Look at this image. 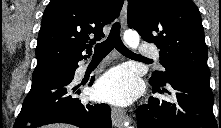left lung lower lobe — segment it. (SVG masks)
<instances>
[{"mask_svg": "<svg viewBox=\"0 0 221 128\" xmlns=\"http://www.w3.org/2000/svg\"><path fill=\"white\" fill-rule=\"evenodd\" d=\"M210 75L174 70L164 85L150 80L153 93L167 99L150 98L137 109L138 128H218L213 114L214 97ZM167 84L170 91L165 88Z\"/></svg>", "mask_w": 221, "mask_h": 128, "instance_id": "left-lung-lower-lobe-1", "label": "left lung lower lobe"}]
</instances>
